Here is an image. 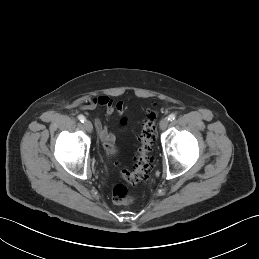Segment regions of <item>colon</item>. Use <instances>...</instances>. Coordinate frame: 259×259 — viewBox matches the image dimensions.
Here are the masks:
<instances>
[{
  "instance_id": "1",
  "label": "colon",
  "mask_w": 259,
  "mask_h": 259,
  "mask_svg": "<svg viewBox=\"0 0 259 259\" xmlns=\"http://www.w3.org/2000/svg\"><path fill=\"white\" fill-rule=\"evenodd\" d=\"M157 112L155 109L146 111L141 134L138 139L137 155L135 165L132 171L122 170L121 177L131 186H135L147 178L152 167V158L150 152L155 144V124ZM121 124L126 123V119H121ZM112 200L116 204H126L133 200L129 189L124 184H117L112 190Z\"/></svg>"
}]
</instances>
